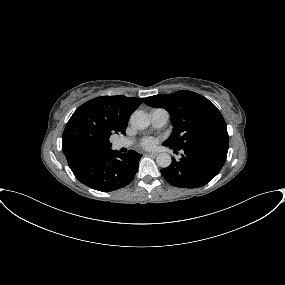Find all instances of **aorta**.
<instances>
[{"instance_id":"aorta-1","label":"aorta","mask_w":285,"mask_h":285,"mask_svg":"<svg viewBox=\"0 0 285 285\" xmlns=\"http://www.w3.org/2000/svg\"><path fill=\"white\" fill-rule=\"evenodd\" d=\"M130 124L135 129L144 130L148 128L150 120L146 113L142 111H135L130 117ZM171 162V156L167 153H160L156 158V163L162 168L168 167Z\"/></svg>"}]
</instances>
